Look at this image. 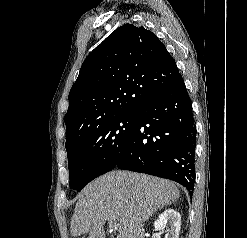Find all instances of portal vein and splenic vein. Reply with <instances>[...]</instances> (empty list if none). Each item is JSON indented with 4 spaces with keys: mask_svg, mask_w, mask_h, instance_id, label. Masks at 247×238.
<instances>
[{
    "mask_svg": "<svg viewBox=\"0 0 247 238\" xmlns=\"http://www.w3.org/2000/svg\"><path fill=\"white\" fill-rule=\"evenodd\" d=\"M109 225H110V229L111 230H114V231H117V230H119L120 229V224L119 223H117V222H110L109 223Z\"/></svg>",
    "mask_w": 247,
    "mask_h": 238,
    "instance_id": "obj_1",
    "label": "portal vein and splenic vein"
}]
</instances>
